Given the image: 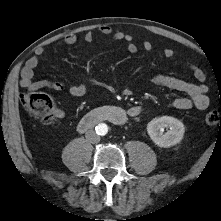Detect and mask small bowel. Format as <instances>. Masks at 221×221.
<instances>
[{
  "instance_id": "1",
  "label": "small bowel",
  "mask_w": 221,
  "mask_h": 221,
  "mask_svg": "<svg viewBox=\"0 0 221 221\" xmlns=\"http://www.w3.org/2000/svg\"><path fill=\"white\" fill-rule=\"evenodd\" d=\"M97 33L112 41H125L126 49L130 54H135L138 52V46L129 34L116 32L108 25L100 26L97 29ZM95 38L96 33L93 31L86 32L83 37L84 41L88 44L92 43ZM64 42L68 45H73L77 42V36L75 34L69 33L65 35ZM142 47L145 51H151L154 48V45L151 41H145L143 42ZM43 53L44 49L39 47L35 50V54L26 61L24 67L21 70V86L29 91L39 90L43 88L54 90L65 89L64 82L59 80H34V70L38 66ZM163 55L165 58L171 59L174 57L175 52L172 48H166L163 51ZM189 69L197 83H193L166 74H156L153 77V83L155 85L166 87L185 95L178 97L173 101V107L175 109L187 110L191 108H196L198 110H205L210 104V99L207 94V86L205 84L206 76L204 72L194 64L190 65ZM86 91L87 86L83 82L69 87V93L77 97L83 96ZM138 108V106L131 107L129 109V114L133 117L138 116Z\"/></svg>"
}]
</instances>
